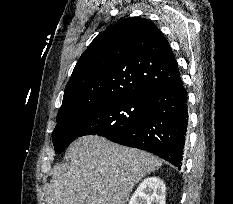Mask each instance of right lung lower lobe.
Returning a JSON list of instances; mask_svg holds the SVG:
<instances>
[{"label":"right lung lower lobe","mask_w":233,"mask_h":204,"mask_svg":"<svg viewBox=\"0 0 233 204\" xmlns=\"http://www.w3.org/2000/svg\"><path fill=\"white\" fill-rule=\"evenodd\" d=\"M148 98L149 117L109 140L151 152L180 169L187 139L188 101L178 68Z\"/></svg>","instance_id":"1"}]
</instances>
